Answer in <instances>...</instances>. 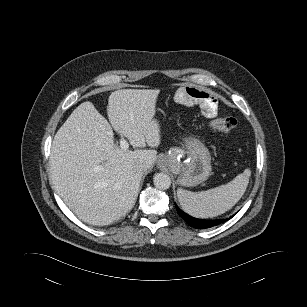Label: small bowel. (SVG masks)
<instances>
[{
  "mask_svg": "<svg viewBox=\"0 0 307 307\" xmlns=\"http://www.w3.org/2000/svg\"><path fill=\"white\" fill-rule=\"evenodd\" d=\"M176 100L180 104L192 105L200 104L201 113L206 117H214L217 114V103L208 92L195 88H181L176 93Z\"/></svg>",
  "mask_w": 307,
  "mask_h": 307,
  "instance_id": "small-bowel-1",
  "label": "small bowel"
}]
</instances>
